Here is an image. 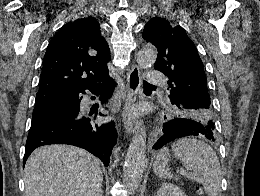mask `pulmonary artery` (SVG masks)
Instances as JSON below:
<instances>
[{
  "label": "pulmonary artery",
  "mask_w": 260,
  "mask_h": 196,
  "mask_svg": "<svg viewBox=\"0 0 260 196\" xmlns=\"http://www.w3.org/2000/svg\"><path fill=\"white\" fill-rule=\"evenodd\" d=\"M146 84H165V76L163 72H149V76L145 80Z\"/></svg>",
  "instance_id": "pulmonary-artery-1"
}]
</instances>
